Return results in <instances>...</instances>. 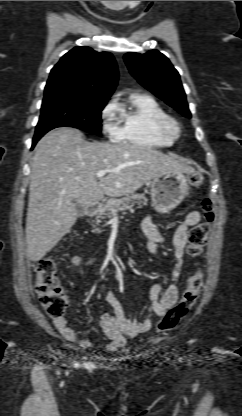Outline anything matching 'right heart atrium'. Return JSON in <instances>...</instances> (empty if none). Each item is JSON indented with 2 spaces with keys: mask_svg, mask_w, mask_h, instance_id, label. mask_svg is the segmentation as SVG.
I'll return each instance as SVG.
<instances>
[{
  "mask_svg": "<svg viewBox=\"0 0 242 416\" xmlns=\"http://www.w3.org/2000/svg\"><path fill=\"white\" fill-rule=\"evenodd\" d=\"M101 123L104 133L115 138L119 131L117 102L109 100L101 110Z\"/></svg>",
  "mask_w": 242,
  "mask_h": 416,
  "instance_id": "right-heart-atrium-1",
  "label": "right heart atrium"
}]
</instances>
